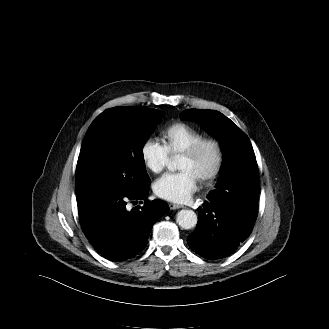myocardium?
<instances>
[{"label":"myocardium","instance_id":"obj_1","mask_svg":"<svg viewBox=\"0 0 329 329\" xmlns=\"http://www.w3.org/2000/svg\"><path fill=\"white\" fill-rule=\"evenodd\" d=\"M207 147L213 149L215 154V161L213 167L207 173H205L199 178V181L204 183L212 181L222 171L225 157H224V148L221 141L214 137H204L199 141L195 142L194 144H192L191 146H189L181 153V156H185L188 158H195L200 154V152L203 149Z\"/></svg>","mask_w":329,"mask_h":329}]
</instances>
